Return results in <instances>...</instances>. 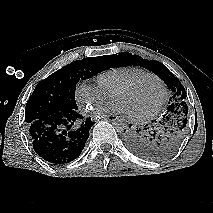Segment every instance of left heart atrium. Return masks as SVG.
Masks as SVG:
<instances>
[{
	"label": "left heart atrium",
	"instance_id": "left-heart-atrium-1",
	"mask_svg": "<svg viewBox=\"0 0 213 213\" xmlns=\"http://www.w3.org/2000/svg\"><path fill=\"white\" fill-rule=\"evenodd\" d=\"M95 114L100 115L103 113H120L124 115H129L126 108L119 102L114 101L113 103L97 108L94 111Z\"/></svg>",
	"mask_w": 213,
	"mask_h": 213
}]
</instances>
